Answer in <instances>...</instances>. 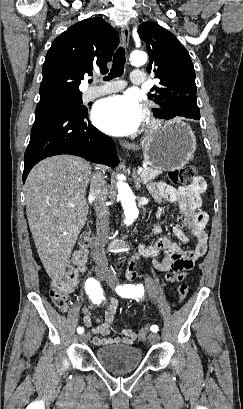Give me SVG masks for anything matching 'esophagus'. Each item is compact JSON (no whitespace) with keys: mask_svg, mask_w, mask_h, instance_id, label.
I'll return each mask as SVG.
<instances>
[{"mask_svg":"<svg viewBox=\"0 0 243 409\" xmlns=\"http://www.w3.org/2000/svg\"><path fill=\"white\" fill-rule=\"evenodd\" d=\"M121 38H122V44L125 48L128 47L129 44V39H130V30L127 25L123 26L121 29ZM119 144L126 149H133L135 148V145L127 142V141H119Z\"/></svg>","mask_w":243,"mask_h":409,"instance_id":"1","label":"esophagus"}]
</instances>
